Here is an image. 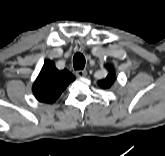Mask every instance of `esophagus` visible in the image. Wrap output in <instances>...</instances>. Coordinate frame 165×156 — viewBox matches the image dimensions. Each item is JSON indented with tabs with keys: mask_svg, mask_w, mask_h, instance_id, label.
<instances>
[{
	"mask_svg": "<svg viewBox=\"0 0 165 156\" xmlns=\"http://www.w3.org/2000/svg\"><path fill=\"white\" fill-rule=\"evenodd\" d=\"M75 74L79 78H84L87 75V71L86 70H77Z\"/></svg>",
	"mask_w": 165,
	"mask_h": 156,
	"instance_id": "esophagus-1",
	"label": "esophagus"
}]
</instances>
